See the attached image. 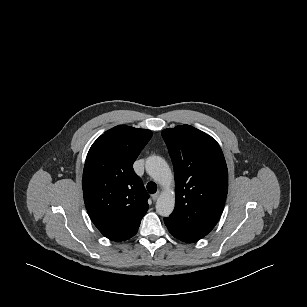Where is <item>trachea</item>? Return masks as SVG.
Here are the masks:
<instances>
[{
    "label": "trachea",
    "instance_id": "trachea-1",
    "mask_svg": "<svg viewBox=\"0 0 307 307\" xmlns=\"http://www.w3.org/2000/svg\"><path fill=\"white\" fill-rule=\"evenodd\" d=\"M147 190L149 193L154 194L157 191V185L154 182H149L147 184Z\"/></svg>",
    "mask_w": 307,
    "mask_h": 307
}]
</instances>
